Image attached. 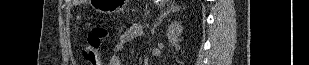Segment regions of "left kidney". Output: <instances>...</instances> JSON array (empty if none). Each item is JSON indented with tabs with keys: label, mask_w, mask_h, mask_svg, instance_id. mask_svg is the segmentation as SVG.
<instances>
[{
	"label": "left kidney",
	"mask_w": 309,
	"mask_h": 65,
	"mask_svg": "<svg viewBox=\"0 0 309 65\" xmlns=\"http://www.w3.org/2000/svg\"><path fill=\"white\" fill-rule=\"evenodd\" d=\"M182 32L183 27L181 23L174 21L168 26L166 36L172 45L178 46Z\"/></svg>",
	"instance_id": "left-kidney-1"
}]
</instances>
